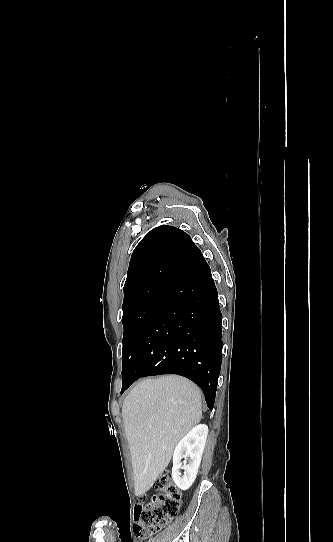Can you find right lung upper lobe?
<instances>
[{
	"label": "right lung upper lobe",
	"instance_id": "1",
	"mask_svg": "<svg viewBox=\"0 0 333 542\" xmlns=\"http://www.w3.org/2000/svg\"><path fill=\"white\" fill-rule=\"evenodd\" d=\"M178 248L198 253L191 238L172 226H158L148 232L132 254L124 284L123 309L160 293H168L187 274L162 260V252Z\"/></svg>",
	"mask_w": 333,
	"mask_h": 542
}]
</instances>
